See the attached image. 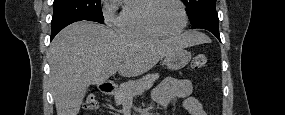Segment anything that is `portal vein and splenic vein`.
Instances as JSON below:
<instances>
[{"mask_svg":"<svg viewBox=\"0 0 285 115\" xmlns=\"http://www.w3.org/2000/svg\"><path fill=\"white\" fill-rule=\"evenodd\" d=\"M144 90H140L139 92H143Z\"/></svg>","mask_w":285,"mask_h":115,"instance_id":"1","label":"portal vein and splenic vein"}]
</instances>
